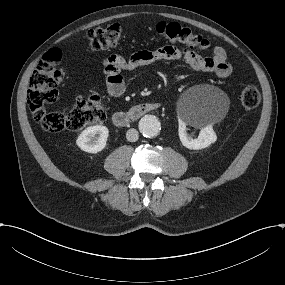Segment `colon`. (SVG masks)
I'll list each match as a JSON object with an SVG mask.
<instances>
[{"mask_svg": "<svg viewBox=\"0 0 285 285\" xmlns=\"http://www.w3.org/2000/svg\"><path fill=\"white\" fill-rule=\"evenodd\" d=\"M155 33L165 41L184 43L194 51H203L209 45L205 38L176 22L157 23ZM122 37L123 30L119 24L87 32L90 50L112 49L119 44ZM61 59L60 50H49L30 78L27 103L34 120L49 132L76 131L90 124L102 122L106 117V111L97 95L76 102L70 108H49L58 100L57 88L65 76V69L60 65ZM240 101L246 110L256 108L261 102L258 88L253 85L246 86L241 92Z\"/></svg>", "mask_w": 285, "mask_h": 285, "instance_id": "5ec220e1", "label": "colon"}]
</instances>
